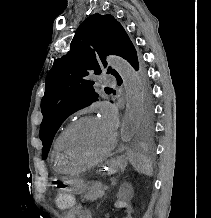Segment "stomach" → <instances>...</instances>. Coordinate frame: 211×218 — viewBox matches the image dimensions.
<instances>
[{
    "label": "stomach",
    "mask_w": 211,
    "mask_h": 218,
    "mask_svg": "<svg viewBox=\"0 0 211 218\" xmlns=\"http://www.w3.org/2000/svg\"><path fill=\"white\" fill-rule=\"evenodd\" d=\"M126 164L127 162L124 157H118L110 160L106 168H104V171H106L108 175H112L118 170L125 168ZM65 183L69 187V190L75 194H82L87 190V184L79 177H69L65 180Z\"/></svg>",
    "instance_id": "stomach-1"
}]
</instances>
